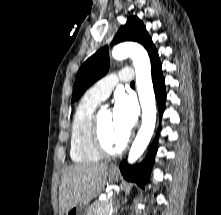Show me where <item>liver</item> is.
<instances>
[{
    "label": "liver",
    "mask_w": 221,
    "mask_h": 215,
    "mask_svg": "<svg viewBox=\"0 0 221 215\" xmlns=\"http://www.w3.org/2000/svg\"><path fill=\"white\" fill-rule=\"evenodd\" d=\"M108 165L75 164L64 169L59 187L60 215L79 204H89L104 188Z\"/></svg>",
    "instance_id": "1"
}]
</instances>
